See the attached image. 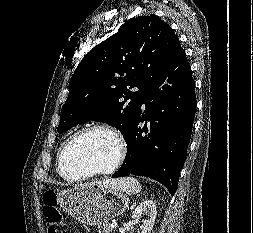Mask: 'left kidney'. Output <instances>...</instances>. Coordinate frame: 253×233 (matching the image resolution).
I'll list each match as a JSON object with an SVG mask.
<instances>
[{
    "label": "left kidney",
    "instance_id": "obj_1",
    "mask_svg": "<svg viewBox=\"0 0 253 233\" xmlns=\"http://www.w3.org/2000/svg\"><path fill=\"white\" fill-rule=\"evenodd\" d=\"M142 214H146L148 218L142 221L141 233H150L157 214L156 205L153 200L148 199L141 202L132 212V218L138 221Z\"/></svg>",
    "mask_w": 253,
    "mask_h": 233
}]
</instances>
